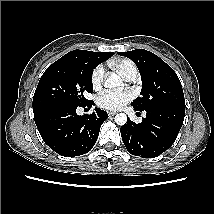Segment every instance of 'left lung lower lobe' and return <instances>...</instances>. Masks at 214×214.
Listing matches in <instances>:
<instances>
[{
	"instance_id": "0a47b994",
	"label": "left lung lower lobe",
	"mask_w": 214,
	"mask_h": 214,
	"mask_svg": "<svg viewBox=\"0 0 214 214\" xmlns=\"http://www.w3.org/2000/svg\"><path fill=\"white\" fill-rule=\"evenodd\" d=\"M145 111L146 117L141 123L129 120L120 132L129 153L154 158L169 149L176 140L184 121L185 108L158 106Z\"/></svg>"
}]
</instances>
